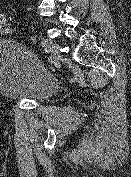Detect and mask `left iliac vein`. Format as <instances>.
Returning a JSON list of instances; mask_svg holds the SVG:
<instances>
[{
  "mask_svg": "<svg viewBox=\"0 0 131 177\" xmlns=\"http://www.w3.org/2000/svg\"><path fill=\"white\" fill-rule=\"evenodd\" d=\"M49 51L52 55V58L58 60L60 58V46L56 43L50 45Z\"/></svg>",
  "mask_w": 131,
  "mask_h": 177,
  "instance_id": "left-iliac-vein-1",
  "label": "left iliac vein"
}]
</instances>
